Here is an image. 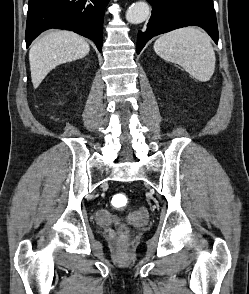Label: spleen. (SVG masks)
I'll use <instances>...</instances> for the list:
<instances>
[{"instance_id": "3e777b00", "label": "spleen", "mask_w": 249, "mask_h": 294, "mask_svg": "<svg viewBox=\"0 0 249 294\" xmlns=\"http://www.w3.org/2000/svg\"><path fill=\"white\" fill-rule=\"evenodd\" d=\"M154 51L201 82L210 80L214 73L216 57L211 39L198 28L184 27L161 35Z\"/></svg>"}]
</instances>
